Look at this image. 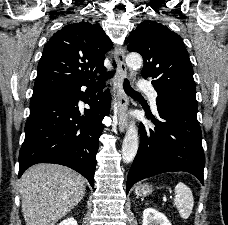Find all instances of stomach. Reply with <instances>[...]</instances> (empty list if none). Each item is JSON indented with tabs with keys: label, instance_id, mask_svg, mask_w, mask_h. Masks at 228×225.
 <instances>
[{
	"label": "stomach",
	"instance_id": "obj_1",
	"mask_svg": "<svg viewBox=\"0 0 228 225\" xmlns=\"http://www.w3.org/2000/svg\"><path fill=\"white\" fill-rule=\"evenodd\" d=\"M136 193L137 195H140V197H147V195L152 193V189L150 185H140V187H137Z\"/></svg>",
	"mask_w": 228,
	"mask_h": 225
}]
</instances>
